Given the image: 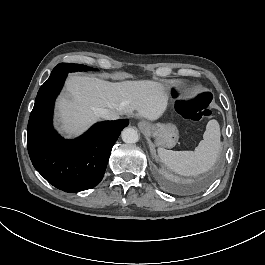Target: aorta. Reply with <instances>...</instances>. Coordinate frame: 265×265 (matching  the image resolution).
<instances>
[{
    "mask_svg": "<svg viewBox=\"0 0 265 265\" xmlns=\"http://www.w3.org/2000/svg\"><path fill=\"white\" fill-rule=\"evenodd\" d=\"M121 136L122 140L125 143H130V144L136 143L139 139V135L134 128H125L122 131Z\"/></svg>",
    "mask_w": 265,
    "mask_h": 265,
    "instance_id": "aorta-1",
    "label": "aorta"
}]
</instances>
